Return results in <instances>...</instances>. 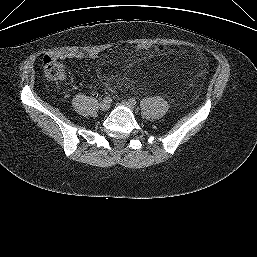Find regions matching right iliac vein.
Listing matches in <instances>:
<instances>
[{
    "instance_id": "1",
    "label": "right iliac vein",
    "mask_w": 257,
    "mask_h": 257,
    "mask_svg": "<svg viewBox=\"0 0 257 257\" xmlns=\"http://www.w3.org/2000/svg\"><path fill=\"white\" fill-rule=\"evenodd\" d=\"M99 109H100L101 111L105 112V111H107V110L109 109V104L106 103V102H104V101H102V102H100V104H99Z\"/></svg>"
}]
</instances>
